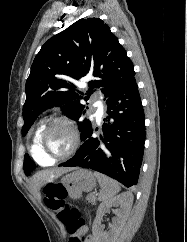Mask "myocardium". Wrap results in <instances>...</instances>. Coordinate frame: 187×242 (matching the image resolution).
Segmentation results:
<instances>
[{"mask_svg":"<svg viewBox=\"0 0 187 242\" xmlns=\"http://www.w3.org/2000/svg\"><path fill=\"white\" fill-rule=\"evenodd\" d=\"M64 125L66 127L69 128L71 135H72V144L71 147L69 148V150L67 152H65L64 154L61 155H51L49 154L44 146V141L45 138L48 134V132L51 130L52 127H54L55 125ZM80 133L78 130V127L76 125V123L66 117V116H58L55 117L53 119H51L43 128L40 137H39V149L41 151V153L48 159L52 160L53 162L58 161V160H64L67 159L69 157H71L79 148L80 146Z\"/></svg>","mask_w":187,"mask_h":242,"instance_id":"myocardium-1","label":"myocardium"}]
</instances>
